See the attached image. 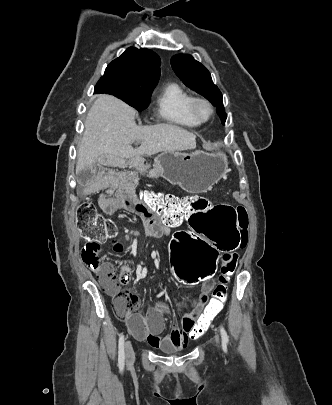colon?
Listing matches in <instances>:
<instances>
[{
  "label": "colon",
  "instance_id": "obj_1",
  "mask_svg": "<svg viewBox=\"0 0 332 405\" xmlns=\"http://www.w3.org/2000/svg\"><path fill=\"white\" fill-rule=\"evenodd\" d=\"M138 197L141 210L154 211L164 223L190 222V227H183L169 240V272L179 287H199L202 281L216 275V268H221L212 299L199 312L195 329L189 331L190 340L199 342L202 331H207L211 318L222 310L227 299L230 277L237 265L235 251L247 244V213L242 207H234V202H213L211 211H202L212 205L205 197L153 192L146 184L139 186ZM76 222L87 239L81 250L82 260L97 270L101 266L100 241L114 232V225L89 201L77 206ZM103 280L105 289L114 297L115 309L127 315L135 303L133 295L121 290L122 282L113 272H105Z\"/></svg>",
  "mask_w": 332,
  "mask_h": 405
}]
</instances>
